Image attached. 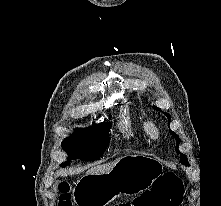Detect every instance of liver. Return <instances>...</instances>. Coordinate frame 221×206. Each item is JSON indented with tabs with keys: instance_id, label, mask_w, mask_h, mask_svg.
Wrapping results in <instances>:
<instances>
[{
	"instance_id": "1",
	"label": "liver",
	"mask_w": 221,
	"mask_h": 206,
	"mask_svg": "<svg viewBox=\"0 0 221 206\" xmlns=\"http://www.w3.org/2000/svg\"><path fill=\"white\" fill-rule=\"evenodd\" d=\"M119 160V159H118ZM114 161L112 163H107V164H103V165H97L95 167H92L91 169H89L87 171L86 174H91V175H102V174H107L116 164V162L118 161Z\"/></svg>"
}]
</instances>
